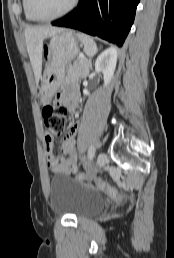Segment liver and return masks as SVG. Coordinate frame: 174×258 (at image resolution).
<instances>
[{"instance_id": "1", "label": "liver", "mask_w": 174, "mask_h": 258, "mask_svg": "<svg viewBox=\"0 0 174 258\" xmlns=\"http://www.w3.org/2000/svg\"><path fill=\"white\" fill-rule=\"evenodd\" d=\"M62 31L63 30L60 28L51 26H35L25 29L26 46L33 67L36 84L39 83L42 71L43 41L45 38Z\"/></svg>"}]
</instances>
